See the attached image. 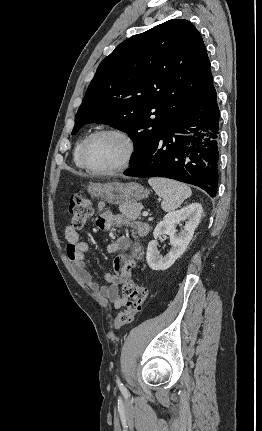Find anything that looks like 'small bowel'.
<instances>
[{"label": "small bowel", "instance_id": "1", "mask_svg": "<svg viewBox=\"0 0 262 431\" xmlns=\"http://www.w3.org/2000/svg\"><path fill=\"white\" fill-rule=\"evenodd\" d=\"M103 208L104 203H98V209L102 210ZM97 225L101 229H109L113 226H131L136 234L142 238L145 237L149 231L147 222L142 220H130L120 214L114 213L100 216L97 219ZM64 235L67 241V257L78 278L101 300L110 301L116 309L123 307L127 299L121 293L120 286L124 279L132 276V270L136 261L143 255L142 244L140 242H133L128 236L122 235L108 245L107 251L109 253L130 251V254H119L117 256L114 261L115 272L113 274H107L105 276L107 283L105 285H100L93 279L85 263V253L88 250V244L82 241L79 234L69 226L65 227Z\"/></svg>", "mask_w": 262, "mask_h": 431}]
</instances>
